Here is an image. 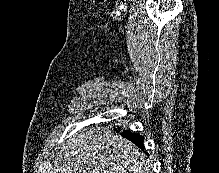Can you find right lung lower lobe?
I'll use <instances>...</instances> for the list:
<instances>
[{"instance_id": "1", "label": "right lung lower lobe", "mask_w": 219, "mask_h": 173, "mask_svg": "<svg viewBox=\"0 0 219 173\" xmlns=\"http://www.w3.org/2000/svg\"><path fill=\"white\" fill-rule=\"evenodd\" d=\"M123 137H126L130 141L136 144L139 148L143 149V140L144 138L138 134L131 133L130 131H124L122 134Z\"/></svg>"}]
</instances>
